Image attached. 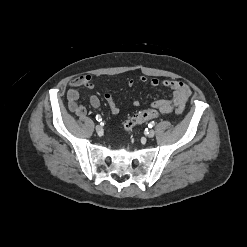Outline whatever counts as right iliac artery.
Returning a JSON list of instances; mask_svg holds the SVG:
<instances>
[{
  "label": "right iliac artery",
  "instance_id": "82829eb1",
  "mask_svg": "<svg viewBox=\"0 0 247 247\" xmlns=\"http://www.w3.org/2000/svg\"><path fill=\"white\" fill-rule=\"evenodd\" d=\"M96 120H97L98 122L102 121L101 116H100V115H97V116H96Z\"/></svg>",
  "mask_w": 247,
  "mask_h": 247
}]
</instances>
